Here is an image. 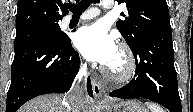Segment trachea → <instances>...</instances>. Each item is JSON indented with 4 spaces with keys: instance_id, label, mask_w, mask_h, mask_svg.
I'll return each mask as SVG.
<instances>
[{
    "instance_id": "trachea-1",
    "label": "trachea",
    "mask_w": 193,
    "mask_h": 112,
    "mask_svg": "<svg viewBox=\"0 0 193 112\" xmlns=\"http://www.w3.org/2000/svg\"><path fill=\"white\" fill-rule=\"evenodd\" d=\"M99 0H81L77 5L70 4L68 5L69 10H71L74 14H81L84 12L91 3H99Z\"/></svg>"
}]
</instances>
